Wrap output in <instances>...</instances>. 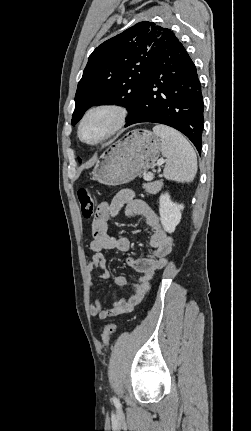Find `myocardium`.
Instances as JSON below:
<instances>
[{
	"label": "myocardium",
	"instance_id": "obj_1",
	"mask_svg": "<svg viewBox=\"0 0 251 431\" xmlns=\"http://www.w3.org/2000/svg\"><path fill=\"white\" fill-rule=\"evenodd\" d=\"M100 111H107L113 115L112 124L109 127L108 131L98 140L93 142L86 141L82 136L83 125L90 115ZM127 117H128L127 110L118 104L110 103V102L96 104L90 107L88 110H86V112L81 117L78 124V130H77L78 138L80 139L81 142L87 145L94 146V145L101 144L107 141L108 139H110L112 136H114L117 132H119L124 127L127 121Z\"/></svg>",
	"mask_w": 251,
	"mask_h": 431
}]
</instances>
